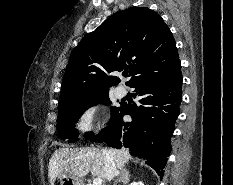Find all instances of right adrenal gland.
<instances>
[{
  "label": "right adrenal gland",
  "mask_w": 233,
  "mask_h": 185,
  "mask_svg": "<svg viewBox=\"0 0 233 185\" xmlns=\"http://www.w3.org/2000/svg\"><path fill=\"white\" fill-rule=\"evenodd\" d=\"M129 171L126 168L120 169V172L117 173V180H115L114 185H117L118 182H123L126 184L129 182Z\"/></svg>",
  "instance_id": "2a0ac1e0"
}]
</instances>
